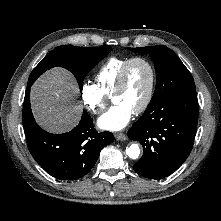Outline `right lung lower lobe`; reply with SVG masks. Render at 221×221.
Returning a JSON list of instances; mask_svg holds the SVG:
<instances>
[{
  "mask_svg": "<svg viewBox=\"0 0 221 221\" xmlns=\"http://www.w3.org/2000/svg\"><path fill=\"white\" fill-rule=\"evenodd\" d=\"M28 84L23 105V127L31 155L51 176L77 180L94 167L101 150L114 141L110 132L98 133L93 120L84 110L79 124L70 132L50 134L35 122L30 106Z\"/></svg>",
  "mask_w": 221,
  "mask_h": 221,
  "instance_id": "right-lung-lower-lobe-1",
  "label": "right lung lower lobe"
}]
</instances>
